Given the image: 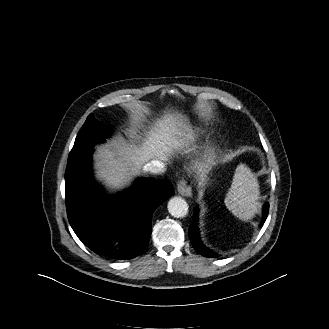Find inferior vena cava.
<instances>
[{"instance_id":"602c4592","label":"inferior vena cava","mask_w":329,"mask_h":329,"mask_svg":"<svg viewBox=\"0 0 329 329\" xmlns=\"http://www.w3.org/2000/svg\"><path fill=\"white\" fill-rule=\"evenodd\" d=\"M143 170L153 174L163 173L165 164L160 160H152L144 165Z\"/></svg>"}]
</instances>
